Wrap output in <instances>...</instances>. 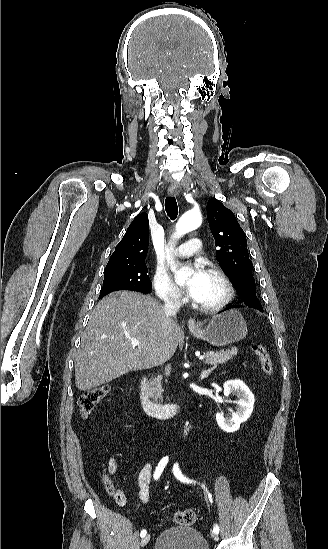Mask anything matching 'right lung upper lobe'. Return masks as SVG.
Returning a JSON list of instances; mask_svg holds the SVG:
<instances>
[{
    "label": "right lung upper lobe",
    "mask_w": 328,
    "mask_h": 549,
    "mask_svg": "<svg viewBox=\"0 0 328 549\" xmlns=\"http://www.w3.org/2000/svg\"><path fill=\"white\" fill-rule=\"evenodd\" d=\"M148 244V214L141 213L134 218L123 239L115 247L105 271L145 261Z\"/></svg>",
    "instance_id": "cb5924a9"
}]
</instances>
